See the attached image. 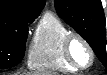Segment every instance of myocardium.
I'll return each mask as SVG.
<instances>
[{
  "label": "myocardium",
  "instance_id": "f54148a6",
  "mask_svg": "<svg viewBox=\"0 0 107 75\" xmlns=\"http://www.w3.org/2000/svg\"><path fill=\"white\" fill-rule=\"evenodd\" d=\"M74 40L81 41L88 49L89 54H90V61L88 64L82 65L74 59V57L71 53V44ZM63 55H64L65 60L71 66L75 67L76 69H80V70H86V69L90 68L93 65L94 60H95V52H94L91 44L88 42V40L86 38H84L82 35L75 33V32H70L65 36V38L63 40Z\"/></svg>",
  "mask_w": 107,
  "mask_h": 75
}]
</instances>
